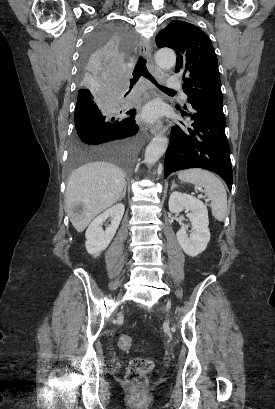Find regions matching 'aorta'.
I'll use <instances>...</instances> for the list:
<instances>
[{"instance_id":"aorta-1","label":"aorta","mask_w":275,"mask_h":409,"mask_svg":"<svg viewBox=\"0 0 275 409\" xmlns=\"http://www.w3.org/2000/svg\"><path fill=\"white\" fill-rule=\"evenodd\" d=\"M155 60L160 68H171V66H175L176 54L174 50H170V48H161V50L156 52ZM167 146V136H163V134L154 136L148 146H146L144 162H147V164L157 162L160 156L164 154Z\"/></svg>"}]
</instances>
